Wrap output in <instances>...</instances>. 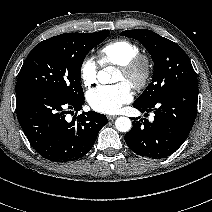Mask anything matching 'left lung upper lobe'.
I'll return each mask as SVG.
<instances>
[{
    "label": "left lung upper lobe",
    "mask_w": 212,
    "mask_h": 212,
    "mask_svg": "<svg viewBox=\"0 0 212 212\" xmlns=\"http://www.w3.org/2000/svg\"><path fill=\"white\" fill-rule=\"evenodd\" d=\"M121 35L140 41L154 61L152 82L136 103L147 105L176 89L198 85L189 57L173 41L147 29L127 30Z\"/></svg>",
    "instance_id": "left-lung-upper-lobe-1"
}]
</instances>
